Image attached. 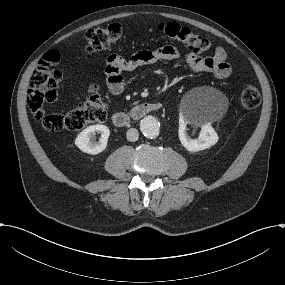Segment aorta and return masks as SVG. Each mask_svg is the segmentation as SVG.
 Masks as SVG:
<instances>
[{"mask_svg":"<svg viewBox=\"0 0 285 285\" xmlns=\"http://www.w3.org/2000/svg\"><path fill=\"white\" fill-rule=\"evenodd\" d=\"M140 129L147 138H154L159 134L160 124L155 117L147 116L141 120Z\"/></svg>","mask_w":285,"mask_h":285,"instance_id":"762f6f07","label":"aorta"}]
</instances>
